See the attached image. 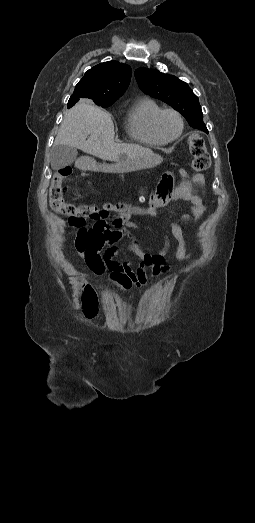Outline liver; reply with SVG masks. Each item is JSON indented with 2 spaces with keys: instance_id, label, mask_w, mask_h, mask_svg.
I'll return each mask as SVG.
<instances>
[{
  "instance_id": "1",
  "label": "liver",
  "mask_w": 255,
  "mask_h": 523,
  "mask_svg": "<svg viewBox=\"0 0 255 523\" xmlns=\"http://www.w3.org/2000/svg\"><path fill=\"white\" fill-rule=\"evenodd\" d=\"M87 136H89L88 140H86ZM114 138V124L109 114L103 112L102 108L94 106L89 100H81L64 116L54 144L73 146L85 154L109 162H119L121 156L125 154L127 160L149 158L153 168L161 164L163 158L153 154L149 148H142L138 144H116ZM119 166L120 164L109 166L108 172H116Z\"/></svg>"
}]
</instances>
